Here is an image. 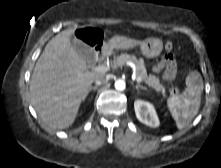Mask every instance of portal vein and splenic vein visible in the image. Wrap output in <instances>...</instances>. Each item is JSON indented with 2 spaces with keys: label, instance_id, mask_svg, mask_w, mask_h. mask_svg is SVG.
I'll return each mask as SVG.
<instances>
[{
  "label": "portal vein and splenic vein",
  "instance_id": "1",
  "mask_svg": "<svg viewBox=\"0 0 221 168\" xmlns=\"http://www.w3.org/2000/svg\"><path fill=\"white\" fill-rule=\"evenodd\" d=\"M93 70L99 73H105L109 70V68L106 65H98ZM133 77L138 83H141L142 80L140 77H137L135 75H133Z\"/></svg>",
  "mask_w": 221,
  "mask_h": 168
}]
</instances>
